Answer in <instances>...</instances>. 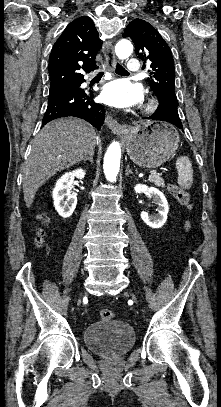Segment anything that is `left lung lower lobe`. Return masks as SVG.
Instances as JSON below:
<instances>
[{
  "instance_id": "0a47b994",
  "label": "left lung lower lobe",
  "mask_w": 221,
  "mask_h": 407,
  "mask_svg": "<svg viewBox=\"0 0 221 407\" xmlns=\"http://www.w3.org/2000/svg\"><path fill=\"white\" fill-rule=\"evenodd\" d=\"M147 119L166 121L180 129L183 128L178 112L169 109L168 105L164 102H159V106L155 113H153Z\"/></svg>"
}]
</instances>
